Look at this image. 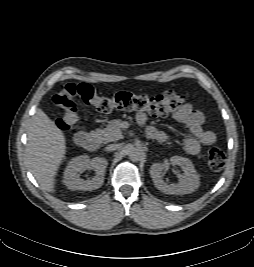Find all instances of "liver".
<instances>
[{"label": "liver", "instance_id": "1", "mask_svg": "<svg viewBox=\"0 0 254 267\" xmlns=\"http://www.w3.org/2000/svg\"><path fill=\"white\" fill-rule=\"evenodd\" d=\"M65 154L63 132L38 108L29 125L26 159L43 190L54 192L55 176Z\"/></svg>", "mask_w": 254, "mask_h": 267}]
</instances>
